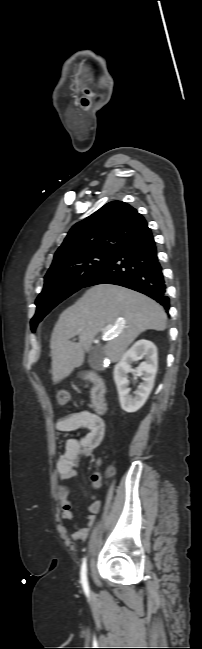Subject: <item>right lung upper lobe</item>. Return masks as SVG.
Here are the masks:
<instances>
[{
	"label": "right lung upper lobe",
	"instance_id": "1",
	"mask_svg": "<svg viewBox=\"0 0 202 649\" xmlns=\"http://www.w3.org/2000/svg\"><path fill=\"white\" fill-rule=\"evenodd\" d=\"M149 231L146 220L135 208L122 201L109 202L71 228L51 267L85 252L116 253Z\"/></svg>",
	"mask_w": 202,
	"mask_h": 649
}]
</instances>
